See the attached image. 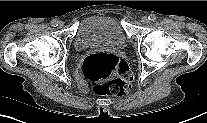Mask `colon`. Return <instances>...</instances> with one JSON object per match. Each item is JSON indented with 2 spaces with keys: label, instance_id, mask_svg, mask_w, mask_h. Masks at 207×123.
I'll list each match as a JSON object with an SVG mask.
<instances>
[{
  "label": "colon",
  "instance_id": "5ec220e1",
  "mask_svg": "<svg viewBox=\"0 0 207 123\" xmlns=\"http://www.w3.org/2000/svg\"><path fill=\"white\" fill-rule=\"evenodd\" d=\"M84 76L93 83L97 95H124L130 88L133 75L128 63L110 54H95L83 63Z\"/></svg>",
  "mask_w": 207,
  "mask_h": 123
}]
</instances>
